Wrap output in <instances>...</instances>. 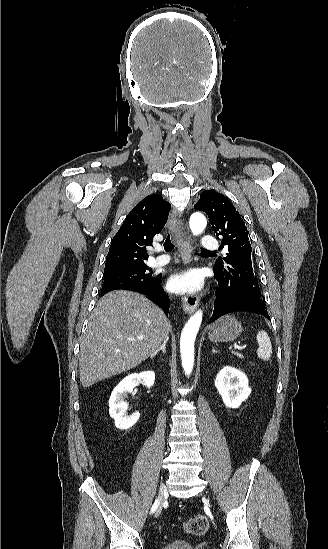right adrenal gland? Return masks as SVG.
<instances>
[{
  "mask_svg": "<svg viewBox=\"0 0 328 549\" xmlns=\"http://www.w3.org/2000/svg\"><path fill=\"white\" fill-rule=\"evenodd\" d=\"M165 347H166V341H164V343H163V345H161L160 349H157V351H155V353H153V355H151V359H152V357H155V355H157V353H159V351H163V353H166Z\"/></svg>",
  "mask_w": 328,
  "mask_h": 549,
  "instance_id": "1",
  "label": "right adrenal gland"
}]
</instances>
